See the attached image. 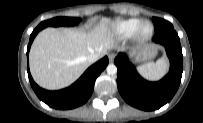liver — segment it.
<instances>
[{
  "instance_id": "liver-1",
  "label": "liver",
  "mask_w": 203,
  "mask_h": 123,
  "mask_svg": "<svg viewBox=\"0 0 203 123\" xmlns=\"http://www.w3.org/2000/svg\"><path fill=\"white\" fill-rule=\"evenodd\" d=\"M111 20L102 18L91 31L48 27L35 38L29 55L35 82L48 90L69 86L88 68L87 56L114 48Z\"/></svg>"
}]
</instances>
